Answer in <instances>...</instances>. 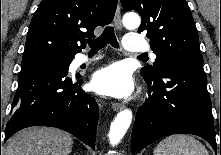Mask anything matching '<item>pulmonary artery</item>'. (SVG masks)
Wrapping results in <instances>:
<instances>
[{
  "label": "pulmonary artery",
  "mask_w": 221,
  "mask_h": 155,
  "mask_svg": "<svg viewBox=\"0 0 221 155\" xmlns=\"http://www.w3.org/2000/svg\"><path fill=\"white\" fill-rule=\"evenodd\" d=\"M124 48L129 52L141 53V52L147 51L148 46L140 35L135 34V33H130L124 37ZM151 56L152 58H156L155 54L153 53L151 54ZM97 59L98 58L96 57L89 58L87 55L80 54L75 59L74 64L76 66H80L83 64L91 63Z\"/></svg>",
  "instance_id": "pulmonary-artery-1"
}]
</instances>
